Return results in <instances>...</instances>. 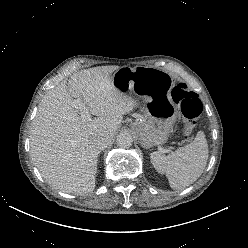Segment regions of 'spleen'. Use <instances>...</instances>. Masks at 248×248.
I'll list each match as a JSON object with an SVG mask.
<instances>
[{
    "mask_svg": "<svg viewBox=\"0 0 248 248\" xmlns=\"http://www.w3.org/2000/svg\"><path fill=\"white\" fill-rule=\"evenodd\" d=\"M205 135L199 131L190 144L178 148L169 155L153 152L151 163L160 174H166L170 187L183 189L195 182L203 173L208 160Z\"/></svg>",
    "mask_w": 248,
    "mask_h": 248,
    "instance_id": "3e777b00",
    "label": "spleen"
}]
</instances>
